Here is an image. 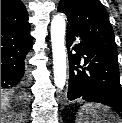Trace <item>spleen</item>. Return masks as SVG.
Returning <instances> with one entry per match:
<instances>
[{
  "mask_svg": "<svg viewBox=\"0 0 122 123\" xmlns=\"http://www.w3.org/2000/svg\"><path fill=\"white\" fill-rule=\"evenodd\" d=\"M103 118H113L107 107L100 104H85L78 111L76 123H103ZM104 123H111L107 120Z\"/></svg>",
  "mask_w": 122,
  "mask_h": 123,
  "instance_id": "spleen-1",
  "label": "spleen"
}]
</instances>
